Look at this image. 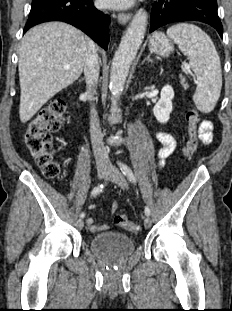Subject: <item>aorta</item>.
<instances>
[{
  "mask_svg": "<svg viewBox=\"0 0 232 311\" xmlns=\"http://www.w3.org/2000/svg\"><path fill=\"white\" fill-rule=\"evenodd\" d=\"M147 19L148 15L143 10L135 14L115 52L110 74V91L113 98L112 112L117 111V99L124 89L130 66L144 39Z\"/></svg>",
  "mask_w": 232,
  "mask_h": 311,
  "instance_id": "aorta-1",
  "label": "aorta"
}]
</instances>
